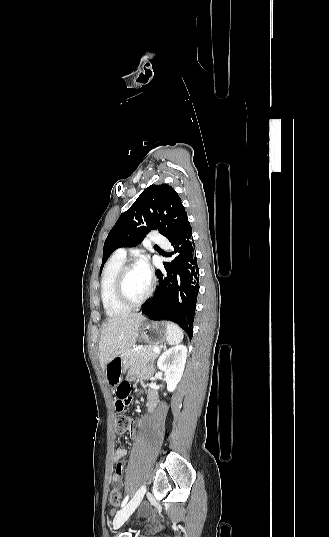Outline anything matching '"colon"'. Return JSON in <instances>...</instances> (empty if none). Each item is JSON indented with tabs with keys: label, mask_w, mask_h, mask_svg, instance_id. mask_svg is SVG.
Listing matches in <instances>:
<instances>
[{
	"label": "colon",
	"mask_w": 329,
	"mask_h": 537,
	"mask_svg": "<svg viewBox=\"0 0 329 537\" xmlns=\"http://www.w3.org/2000/svg\"><path fill=\"white\" fill-rule=\"evenodd\" d=\"M131 425H132L131 418L128 415L120 414L117 416L115 420V431L118 434H122L126 432L131 427ZM120 501H121V493L116 489L111 490L109 494V503L112 506L116 507L120 504Z\"/></svg>",
	"instance_id": "5ec220e1"
}]
</instances>
